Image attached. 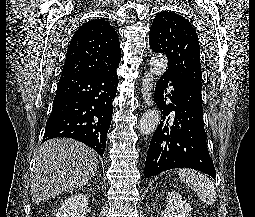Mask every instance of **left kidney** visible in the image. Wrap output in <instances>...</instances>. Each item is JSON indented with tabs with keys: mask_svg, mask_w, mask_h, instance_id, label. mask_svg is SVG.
<instances>
[{
	"mask_svg": "<svg viewBox=\"0 0 255 217\" xmlns=\"http://www.w3.org/2000/svg\"><path fill=\"white\" fill-rule=\"evenodd\" d=\"M167 208L163 211L162 217H191V206L186 201H183L181 196L174 192L167 194Z\"/></svg>",
	"mask_w": 255,
	"mask_h": 217,
	"instance_id": "1",
	"label": "left kidney"
}]
</instances>
